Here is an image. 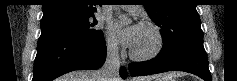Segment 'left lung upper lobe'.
Returning <instances> with one entry per match:
<instances>
[{
	"label": "left lung upper lobe",
	"mask_w": 237,
	"mask_h": 81,
	"mask_svg": "<svg viewBox=\"0 0 237 81\" xmlns=\"http://www.w3.org/2000/svg\"><path fill=\"white\" fill-rule=\"evenodd\" d=\"M144 7L161 28L162 52L171 51L188 40L203 38L195 0H148Z\"/></svg>",
	"instance_id": "5c2ea615"
}]
</instances>
